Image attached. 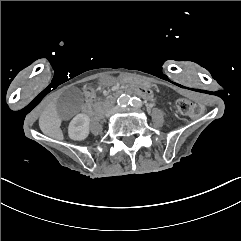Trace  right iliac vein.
Returning <instances> with one entry per match:
<instances>
[{"label": "right iliac vein", "mask_w": 241, "mask_h": 241, "mask_svg": "<svg viewBox=\"0 0 241 241\" xmlns=\"http://www.w3.org/2000/svg\"><path fill=\"white\" fill-rule=\"evenodd\" d=\"M114 111L116 112V111H117V109L115 108V109H114Z\"/></svg>", "instance_id": "right-iliac-vein-1"}]
</instances>
